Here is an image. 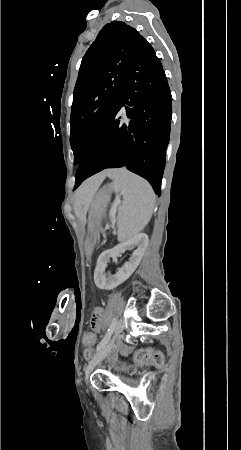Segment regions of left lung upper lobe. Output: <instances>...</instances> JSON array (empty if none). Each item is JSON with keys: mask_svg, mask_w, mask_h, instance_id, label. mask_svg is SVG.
Returning <instances> with one entry per match:
<instances>
[{"mask_svg": "<svg viewBox=\"0 0 241 450\" xmlns=\"http://www.w3.org/2000/svg\"><path fill=\"white\" fill-rule=\"evenodd\" d=\"M149 45L134 28L114 21L101 29L85 53L74 88L70 119L75 165L116 107L133 55Z\"/></svg>", "mask_w": 241, "mask_h": 450, "instance_id": "obj_1", "label": "left lung upper lobe"}]
</instances>
